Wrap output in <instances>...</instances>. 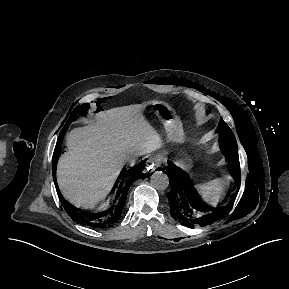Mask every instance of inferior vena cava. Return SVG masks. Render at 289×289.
I'll use <instances>...</instances> for the list:
<instances>
[{"label":"inferior vena cava","instance_id":"inferior-vena-cava-1","mask_svg":"<svg viewBox=\"0 0 289 289\" xmlns=\"http://www.w3.org/2000/svg\"><path fill=\"white\" fill-rule=\"evenodd\" d=\"M130 162L135 163V158L134 157L130 158Z\"/></svg>","mask_w":289,"mask_h":289}]
</instances>
